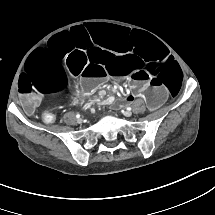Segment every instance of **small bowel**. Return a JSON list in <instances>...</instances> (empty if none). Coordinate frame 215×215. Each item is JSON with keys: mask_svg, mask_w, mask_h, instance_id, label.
I'll return each mask as SVG.
<instances>
[{"mask_svg": "<svg viewBox=\"0 0 215 215\" xmlns=\"http://www.w3.org/2000/svg\"><path fill=\"white\" fill-rule=\"evenodd\" d=\"M33 108L36 106V104L40 101V98H38V97H33ZM127 100H129V99H127Z\"/></svg>", "mask_w": 215, "mask_h": 215, "instance_id": "c3829d8e", "label": "small bowel"}]
</instances>
